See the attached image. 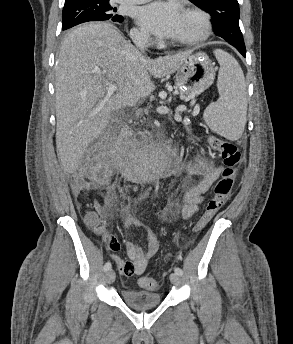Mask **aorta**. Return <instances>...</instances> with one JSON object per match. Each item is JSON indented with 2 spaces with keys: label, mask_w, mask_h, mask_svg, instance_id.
<instances>
[{
  "label": "aorta",
  "mask_w": 293,
  "mask_h": 344,
  "mask_svg": "<svg viewBox=\"0 0 293 344\" xmlns=\"http://www.w3.org/2000/svg\"><path fill=\"white\" fill-rule=\"evenodd\" d=\"M162 158H163V157L161 156V159H160V161H159L160 163L162 162Z\"/></svg>",
  "instance_id": "aorta-1"
}]
</instances>
